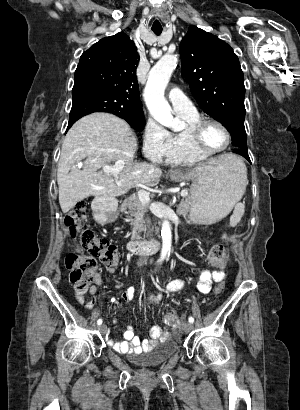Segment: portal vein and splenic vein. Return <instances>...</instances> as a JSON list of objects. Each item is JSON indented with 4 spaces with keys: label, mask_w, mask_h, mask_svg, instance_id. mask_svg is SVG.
I'll return each mask as SVG.
<instances>
[{
    "label": "portal vein and splenic vein",
    "mask_w": 300,
    "mask_h": 410,
    "mask_svg": "<svg viewBox=\"0 0 300 410\" xmlns=\"http://www.w3.org/2000/svg\"><path fill=\"white\" fill-rule=\"evenodd\" d=\"M123 167H124V163L121 162V161H117L115 163V165L110 169V171L112 173H118L122 170ZM180 194H181V196L186 197V196H188V191L187 190H182L180 192ZM138 197L144 205H146L150 202L149 193L145 190H139L138 191Z\"/></svg>",
    "instance_id": "obj_1"
}]
</instances>
